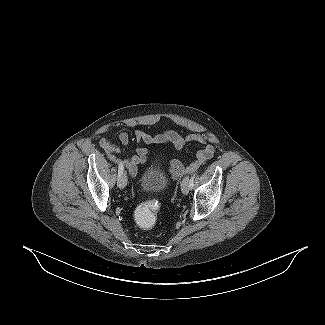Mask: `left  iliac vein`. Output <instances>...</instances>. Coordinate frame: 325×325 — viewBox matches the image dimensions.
<instances>
[{
    "label": "left iliac vein",
    "instance_id": "obj_1",
    "mask_svg": "<svg viewBox=\"0 0 325 325\" xmlns=\"http://www.w3.org/2000/svg\"><path fill=\"white\" fill-rule=\"evenodd\" d=\"M189 181H190L189 178L185 177L181 182V191L185 195L188 194L190 190Z\"/></svg>",
    "mask_w": 325,
    "mask_h": 325
}]
</instances>
